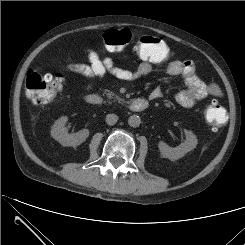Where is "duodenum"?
Masks as SVG:
<instances>
[{
	"instance_id": "obj_1",
	"label": "duodenum",
	"mask_w": 245,
	"mask_h": 245,
	"mask_svg": "<svg viewBox=\"0 0 245 245\" xmlns=\"http://www.w3.org/2000/svg\"><path fill=\"white\" fill-rule=\"evenodd\" d=\"M85 102L91 106H99L102 102V99L100 95L96 93H90L85 96ZM148 105H149L148 100L143 98H138L132 100L129 103L128 108L132 112H141L147 109Z\"/></svg>"
}]
</instances>
